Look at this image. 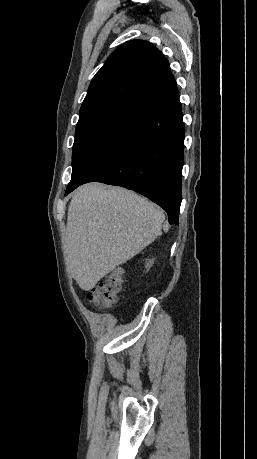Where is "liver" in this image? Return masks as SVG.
Segmentation results:
<instances>
[{
	"instance_id": "liver-1",
	"label": "liver",
	"mask_w": 257,
	"mask_h": 459,
	"mask_svg": "<svg viewBox=\"0 0 257 459\" xmlns=\"http://www.w3.org/2000/svg\"><path fill=\"white\" fill-rule=\"evenodd\" d=\"M163 212L119 187L86 184L72 195L65 233L67 269L88 291L160 235Z\"/></svg>"
}]
</instances>
